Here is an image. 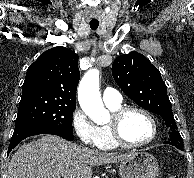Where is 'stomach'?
I'll use <instances>...</instances> for the list:
<instances>
[{"instance_id":"stomach-1","label":"stomach","mask_w":194,"mask_h":178,"mask_svg":"<svg viewBox=\"0 0 194 178\" xmlns=\"http://www.w3.org/2000/svg\"><path fill=\"white\" fill-rule=\"evenodd\" d=\"M119 173L121 178H156L159 165L150 153L137 152L120 163Z\"/></svg>"}]
</instances>
